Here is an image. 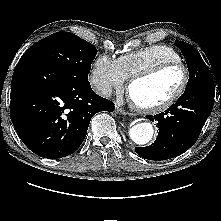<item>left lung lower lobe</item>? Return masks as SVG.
Wrapping results in <instances>:
<instances>
[{"mask_svg": "<svg viewBox=\"0 0 221 221\" xmlns=\"http://www.w3.org/2000/svg\"><path fill=\"white\" fill-rule=\"evenodd\" d=\"M215 96L214 81L185 91L165 112L147 116L157 121L158 136L147 147H136V153L149 160H166L179 156L197 141L211 114Z\"/></svg>", "mask_w": 221, "mask_h": 221, "instance_id": "0a47b994", "label": "left lung lower lobe"}]
</instances>
